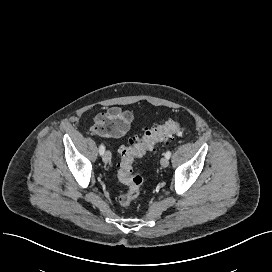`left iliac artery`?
<instances>
[{"instance_id":"left-iliac-artery-1","label":"left iliac artery","mask_w":272,"mask_h":272,"mask_svg":"<svg viewBox=\"0 0 272 272\" xmlns=\"http://www.w3.org/2000/svg\"><path fill=\"white\" fill-rule=\"evenodd\" d=\"M165 157L169 159V158L171 157V152H170V151H167V152L165 153Z\"/></svg>"}]
</instances>
